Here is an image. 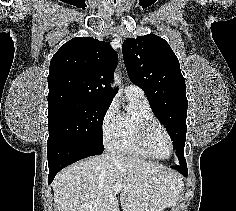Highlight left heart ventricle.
<instances>
[{
    "instance_id": "1",
    "label": "left heart ventricle",
    "mask_w": 236,
    "mask_h": 211,
    "mask_svg": "<svg viewBox=\"0 0 236 211\" xmlns=\"http://www.w3.org/2000/svg\"><path fill=\"white\" fill-rule=\"evenodd\" d=\"M147 147L151 152L159 156H166L170 151L168 138L161 129H155L149 134Z\"/></svg>"
}]
</instances>
